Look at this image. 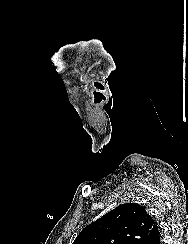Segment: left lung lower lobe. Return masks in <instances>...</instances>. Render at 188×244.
Here are the masks:
<instances>
[{"instance_id": "1", "label": "left lung lower lobe", "mask_w": 188, "mask_h": 244, "mask_svg": "<svg viewBox=\"0 0 188 244\" xmlns=\"http://www.w3.org/2000/svg\"><path fill=\"white\" fill-rule=\"evenodd\" d=\"M150 244H161V236H160V230L157 232L155 237L152 239Z\"/></svg>"}]
</instances>
